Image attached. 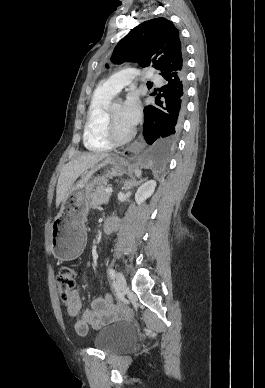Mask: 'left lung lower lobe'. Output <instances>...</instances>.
<instances>
[{
    "mask_svg": "<svg viewBox=\"0 0 265 388\" xmlns=\"http://www.w3.org/2000/svg\"><path fill=\"white\" fill-rule=\"evenodd\" d=\"M163 78L165 85L157 89L155 103L144 109L143 135L149 144L145 158L158 169L167 165L170 151L181 132L186 107V68Z\"/></svg>",
    "mask_w": 265,
    "mask_h": 388,
    "instance_id": "left-lung-lower-lobe-1",
    "label": "left lung lower lobe"
}]
</instances>
